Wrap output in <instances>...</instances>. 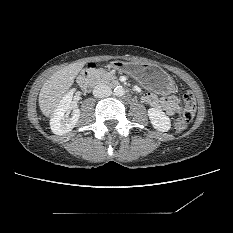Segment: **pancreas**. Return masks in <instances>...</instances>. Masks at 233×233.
I'll return each instance as SVG.
<instances>
[{"mask_svg": "<svg viewBox=\"0 0 233 233\" xmlns=\"http://www.w3.org/2000/svg\"><path fill=\"white\" fill-rule=\"evenodd\" d=\"M95 75L97 76L99 82H103V83H109L110 81H113L115 79L114 75L103 69H97L95 71Z\"/></svg>", "mask_w": 233, "mask_h": 233, "instance_id": "1", "label": "pancreas"}]
</instances>
